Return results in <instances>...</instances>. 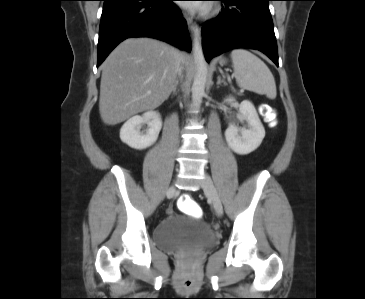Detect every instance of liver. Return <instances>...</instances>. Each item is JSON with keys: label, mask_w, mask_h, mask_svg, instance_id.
Returning <instances> with one entry per match:
<instances>
[{"label": "liver", "mask_w": 365, "mask_h": 299, "mask_svg": "<svg viewBox=\"0 0 365 299\" xmlns=\"http://www.w3.org/2000/svg\"><path fill=\"white\" fill-rule=\"evenodd\" d=\"M182 59L173 47L154 39L122 42L101 67L99 112L103 122L116 125L159 107L171 93Z\"/></svg>", "instance_id": "1"}]
</instances>
